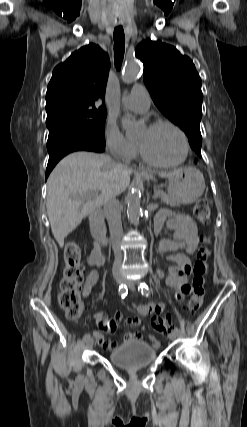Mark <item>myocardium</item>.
I'll return each mask as SVG.
<instances>
[{"mask_svg": "<svg viewBox=\"0 0 247 427\" xmlns=\"http://www.w3.org/2000/svg\"><path fill=\"white\" fill-rule=\"evenodd\" d=\"M162 126H167L172 128L181 138V142H182V155L181 157L174 161V162H161V161H157L152 159L147 153L146 151L143 149V147L137 143L138 146V150L140 153V156L142 157V159L153 165L156 167H162V168H171V167H176L181 165L182 163H184V161L187 159L188 153H189V141L187 138V135L185 134V132L175 123L169 121V120H157L153 123H151L148 128L149 129H154V128H158V127H162Z\"/></svg>", "mask_w": 247, "mask_h": 427, "instance_id": "1", "label": "myocardium"}]
</instances>
